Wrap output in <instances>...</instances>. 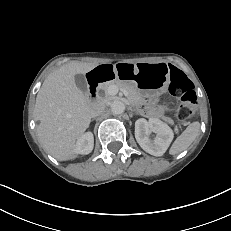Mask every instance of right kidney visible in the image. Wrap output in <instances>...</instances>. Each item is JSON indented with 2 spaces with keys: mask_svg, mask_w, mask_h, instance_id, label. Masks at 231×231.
Here are the masks:
<instances>
[{
  "mask_svg": "<svg viewBox=\"0 0 231 231\" xmlns=\"http://www.w3.org/2000/svg\"><path fill=\"white\" fill-rule=\"evenodd\" d=\"M94 138L91 132L83 134L76 144V152L81 155H87L93 150Z\"/></svg>",
  "mask_w": 231,
  "mask_h": 231,
  "instance_id": "1",
  "label": "right kidney"
}]
</instances>
